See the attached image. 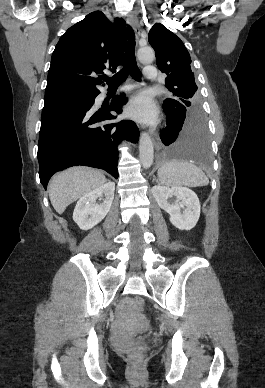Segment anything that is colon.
Segmentation results:
<instances>
[{"label": "colon", "mask_w": 265, "mask_h": 388, "mask_svg": "<svg viewBox=\"0 0 265 388\" xmlns=\"http://www.w3.org/2000/svg\"><path fill=\"white\" fill-rule=\"evenodd\" d=\"M134 307L137 311H143L145 307V299L141 296H137L134 299ZM125 351L133 358L138 359L140 357V350L138 348H126Z\"/></svg>", "instance_id": "colon-1"}]
</instances>
